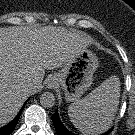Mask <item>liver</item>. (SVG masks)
Here are the masks:
<instances>
[{
  "label": "liver",
  "mask_w": 135,
  "mask_h": 135,
  "mask_svg": "<svg viewBox=\"0 0 135 135\" xmlns=\"http://www.w3.org/2000/svg\"><path fill=\"white\" fill-rule=\"evenodd\" d=\"M88 45L81 34L52 26L0 28V127L42 87L45 69L63 66Z\"/></svg>",
  "instance_id": "liver-1"
}]
</instances>
